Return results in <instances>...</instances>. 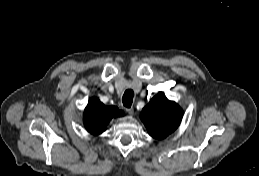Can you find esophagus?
<instances>
[{
  "label": "esophagus",
  "mask_w": 259,
  "mask_h": 176,
  "mask_svg": "<svg viewBox=\"0 0 259 176\" xmlns=\"http://www.w3.org/2000/svg\"><path fill=\"white\" fill-rule=\"evenodd\" d=\"M126 111H127V113L129 115H133V113H134V109L132 107L131 108H127Z\"/></svg>",
  "instance_id": "obj_1"
}]
</instances>
